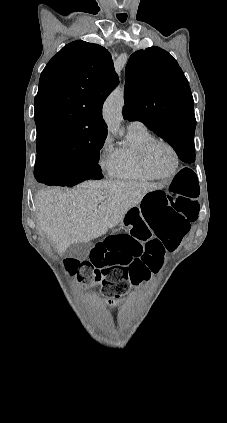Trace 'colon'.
Returning a JSON list of instances; mask_svg holds the SVG:
<instances>
[{
	"label": "colon",
	"instance_id": "1",
	"mask_svg": "<svg viewBox=\"0 0 227 423\" xmlns=\"http://www.w3.org/2000/svg\"><path fill=\"white\" fill-rule=\"evenodd\" d=\"M198 200L196 176L182 170L170 186L146 194L142 214L150 231L135 221L129 233L111 235L97 243L89 260L68 259L67 268L80 280L95 279L105 293L123 296L129 285L158 272L166 252L177 247L197 219Z\"/></svg>",
	"mask_w": 227,
	"mask_h": 423
}]
</instances>
